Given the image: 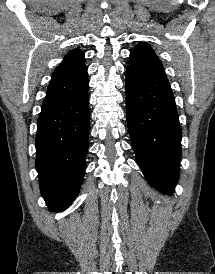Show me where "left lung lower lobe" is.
<instances>
[{
    "label": "left lung lower lobe",
    "instance_id": "left-lung-lower-lobe-1",
    "mask_svg": "<svg viewBox=\"0 0 215 274\" xmlns=\"http://www.w3.org/2000/svg\"><path fill=\"white\" fill-rule=\"evenodd\" d=\"M126 115L136 160L147 181L172 193L180 171L182 132L169 81L128 66Z\"/></svg>",
    "mask_w": 215,
    "mask_h": 274
}]
</instances>
